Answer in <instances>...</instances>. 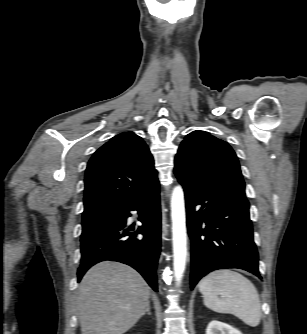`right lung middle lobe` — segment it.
I'll return each instance as SVG.
<instances>
[{
    "label": "right lung middle lobe",
    "instance_id": "dd1d6c3e",
    "mask_svg": "<svg viewBox=\"0 0 307 334\" xmlns=\"http://www.w3.org/2000/svg\"><path fill=\"white\" fill-rule=\"evenodd\" d=\"M115 215L116 214L103 213L83 216L81 242L112 222L115 218Z\"/></svg>",
    "mask_w": 307,
    "mask_h": 334
}]
</instances>
